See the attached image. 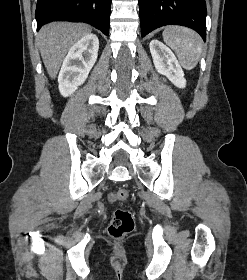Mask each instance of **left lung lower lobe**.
Returning <instances> with one entry per match:
<instances>
[{
    "label": "left lung lower lobe",
    "mask_w": 247,
    "mask_h": 280,
    "mask_svg": "<svg viewBox=\"0 0 247 280\" xmlns=\"http://www.w3.org/2000/svg\"><path fill=\"white\" fill-rule=\"evenodd\" d=\"M141 36L165 25H182L206 40L205 0H139Z\"/></svg>",
    "instance_id": "1"
}]
</instances>
